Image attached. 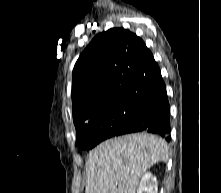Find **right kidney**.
Here are the masks:
<instances>
[{
	"instance_id": "1",
	"label": "right kidney",
	"mask_w": 221,
	"mask_h": 193,
	"mask_svg": "<svg viewBox=\"0 0 221 193\" xmlns=\"http://www.w3.org/2000/svg\"><path fill=\"white\" fill-rule=\"evenodd\" d=\"M158 182L155 176L150 172L145 173L142 177L137 193H157Z\"/></svg>"
}]
</instances>
